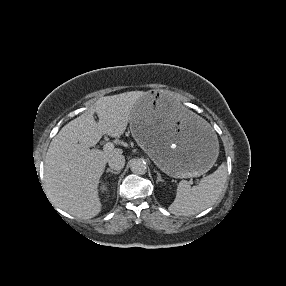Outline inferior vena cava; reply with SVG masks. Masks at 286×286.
<instances>
[{
    "label": "inferior vena cava",
    "mask_w": 286,
    "mask_h": 286,
    "mask_svg": "<svg viewBox=\"0 0 286 286\" xmlns=\"http://www.w3.org/2000/svg\"><path fill=\"white\" fill-rule=\"evenodd\" d=\"M109 167L112 170L119 171L121 170L125 165V157L121 154H114L109 160H108Z\"/></svg>",
    "instance_id": "obj_1"
}]
</instances>
